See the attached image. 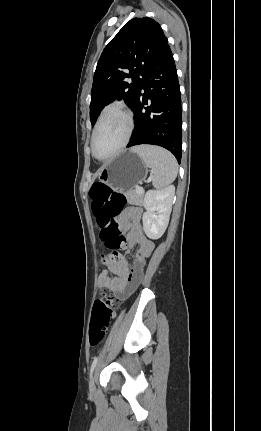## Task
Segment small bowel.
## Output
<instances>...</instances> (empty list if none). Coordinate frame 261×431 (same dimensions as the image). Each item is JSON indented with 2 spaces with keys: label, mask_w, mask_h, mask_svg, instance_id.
Masks as SVG:
<instances>
[{
  "label": "small bowel",
  "mask_w": 261,
  "mask_h": 431,
  "mask_svg": "<svg viewBox=\"0 0 261 431\" xmlns=\"http://www.w3.org/2000/svg\"><path fill=\"white\" fill-rule=\"evenodd\" d=\"M141 215V208L129 207L119 217L120 227L127 231V246L137 247L132 263L129 264L126 258H122L117 264H107L99 275V286L121 298L129 295L140 283L146 260L154 249V243L143 234Z\"/></svg>",
  "instance_id": "c3829d8e"
}]
</instances>
